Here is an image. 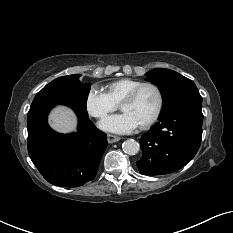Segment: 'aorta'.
Instances as JSON below:
<instances>
[{"label": "aorta", "mask_w": 233, "mask_h": 233, "mask_svg": "<svg viewBox=\"0 0 233 233\" xmlns=\"http://www.w3.org/2000/svg\"><path fill=\"white\" fill-rule=\"evenodd\" d=\"M123 151L128 155H135L139 152L140 145L134 139H128L122 144Z\"/></svg>", "instance_id": "1"}]
</instances>
